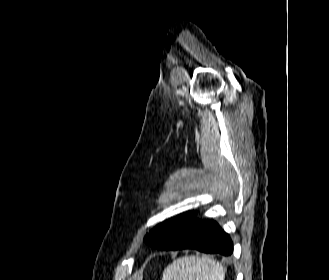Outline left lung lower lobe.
Masks as SVG:
<instances>
[{"label": "left lung lower lobe", "instance_id": "0a47b994", "mask_svg": "<svg viewBox=\"0 0 329 280\" xmlns=\"http://www.w3.org/2000/svg\"><path fill=\"white\" fill-rule=\"evenodd\" d=\"M168 236L163 250L196 249L205 253L230 255L233 243L220 226L212 220H199L195 212H187L160 225Z\"/></svg>", "mask_w": 329, "mask_h": 280}]
</instances>
